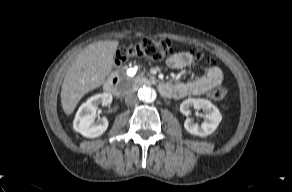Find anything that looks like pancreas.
<instances>
[{
    "mask_svg": "<svg viewBox=\"0 0 292 192\" xmlns=\"http://www.w3.org/2000/svg\"><path fill=\"white\" fill-rule=\"evenodd\" d=\"M142 79H144L143 78V74H141L140 76H137V77L134 78L135 81H140Z\"/></svg>",
    "mask_w": 292,
    "mask_h": 192,
    "instance_id": "cf45deb5",
    "label": "pancreas"
}]
</instances>
